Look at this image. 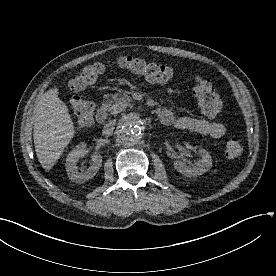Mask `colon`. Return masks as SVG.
Returning a JSON list of instances; mask_svg holds the SVG:
<instances>
[{"instance_id":"1","label":"colon","mask_w":276,"mask_h":276,"mask_svg":"<svg viewBox=\"0 0 276 276\" xmlns=\"http://www.w3.org/2000/svg\"><path fill=\"white\" fill-rule=\"evenodd\" d=\"M113 66L128 70L157 84H165L173 77V71L170 67L133 56H122L117 59ZM109 67L111 65L100 62L85 67L78 76L70 81L71 91L81 92L88 89L96 83ZM195 94L205 115L213 118L220 113L222 108L221 100L208 79L197 78ZM71 110L78 125L87 126L92 122L94 104L91 101L77 97L71 102ZM242 150L240 141L231 138L225 143L224 155L229 159H233L240 156Z\"/></svg>"}]
</instances>
